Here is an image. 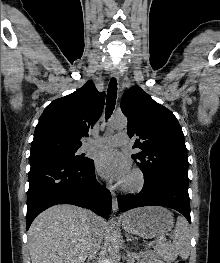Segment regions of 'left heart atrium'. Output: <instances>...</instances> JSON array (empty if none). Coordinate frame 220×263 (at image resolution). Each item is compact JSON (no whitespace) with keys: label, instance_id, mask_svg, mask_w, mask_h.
I'll return each mask as SVG.
<instances>
[{"label":"left heart atrium","instance_id":"obj_1","mask_svg":"<svg viewBox=\"0 0 220 263\" xmlns=\"http://www.w3.org/2000/svg\"><path fill=\"white\" fill-rule=\"evenodd\" d=\"M98 172L106 179L123 183L130 175V161L123 153L115 149H107L96 157Z\"/></svg>","mask_w":220,"mask_h":263}]
</instances>
